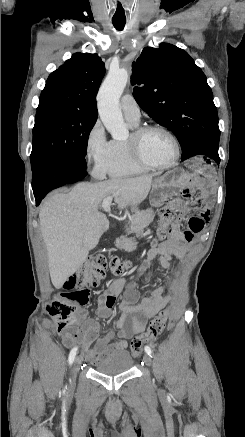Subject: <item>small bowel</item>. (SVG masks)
<instances>
[{"label": "small bowel", "instance_id": "c3829d8e", "mask_svg": "<svg viewBox=\"0 0 245 437\" xmlns=\"http://www.w3.org/2000/svg\"><path fill=\"white\" fill-rule=\"evenodd\" d=\"M189 175H193L199 180H218L219 173L215 165L209 159L202 156L200 159H190ZM202 192H209V183H202ZM186 200V206L200 208L204 204L201 197H190ZM184 217L179 216L169 229V238L162 241L157 248L148 252L147 261L141 268V273L136 280L146 283L150 273L146 271L152 262L158 261L162 268H169L173 258L181 256L188 243L193 240L194 234L200 232L208 222L207 211L198 216L192 217L188 223V229L181 231L180 225ZM124 280H114L108 291L100 294L97 298V315L102 319L112 318V308L115 304L116 296L123 292V302L119 307L118 314L114 319L110 333L98 338V325L91 319L84 321V334L81 338H72L62 334L63 342L66 346H71L74 342L80 341L82 350L90 361H98L107 355L124 350L127 348V340L132 336L143 332L146 322L154 317L165 305L167 297L163 295L161 287L150 291L149 295L138 302V291L135 281L129 283L124 291ZM85 311V310H84ZM86 313V311H85ZM85 318V317H84Z\"/></svg>", "mask_w": 245, "mask_h": 437}]
</instances>
